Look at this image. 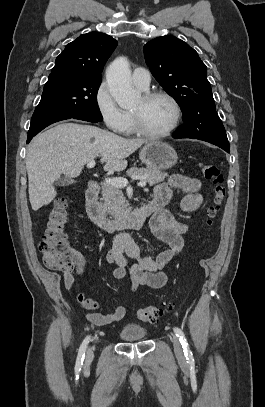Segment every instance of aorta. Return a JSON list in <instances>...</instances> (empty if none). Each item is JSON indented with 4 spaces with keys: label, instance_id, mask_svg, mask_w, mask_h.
<instances>
[{
    "label": "aorta",
    "instance_id": "aorta-1",
    "mask_svg": "<svg viewBox=\"0 0 265 407\" xmlns=\"http://www.w3.org/2000/svg\"><path fill=\"white\" fill-rule=\"evenodd\" d=\"M109 91L121 108L134 106L140 93L132 88L129 61L125 57L116 58L106 70Z\"/></svg>",
    "mask_w": 265,
    "mask_h": 407
}]
</instances>
